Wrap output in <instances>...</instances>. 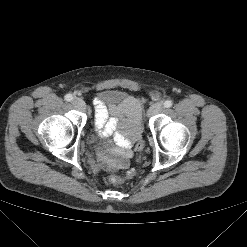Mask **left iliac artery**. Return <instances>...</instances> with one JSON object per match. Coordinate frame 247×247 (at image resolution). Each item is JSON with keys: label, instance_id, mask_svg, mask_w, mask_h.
<instances>
[{"label": "left iliac artery", "instance_id": "left-iliac-artery-1", "mask_svg": "<svg viewBox=\"0 0 247 247\" xmlns=\"http://www.w3.org/2000/svg\"><path fill=\"white\" fill-rule=\"evenodd\" d=\"M171 106H172V101L166 100V101L164 102V107H165V108H170Z\"/></svg>", "mask_w": 247, "mask_h": 247}]
</instances>
